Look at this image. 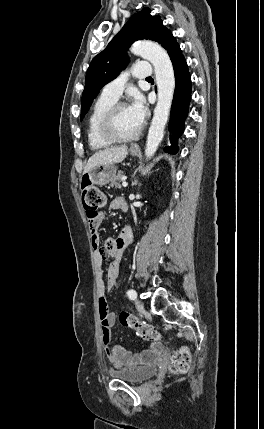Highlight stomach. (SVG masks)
Masks as SVG:
<instances>
[{
	"mask_svg": "<svg viewBox=\"0 0 264 429\" xmlns=\"http://www.w3.org/2000/svg\"><path fill=\"white\" fill-rule=\"evenodd\" d=\"M130 154L136 156L138 151L131 149ZM116 172L117 167L114 164H103L92 168L82 178L89 180L92 184L102 186L108 184L116 176Z\"/></svg>",
	"mask_w": 264,
	"mask_h": 429,
	"instance_id": "stomach-1",
	"label": "stomach"
}]
</instances>
